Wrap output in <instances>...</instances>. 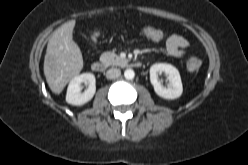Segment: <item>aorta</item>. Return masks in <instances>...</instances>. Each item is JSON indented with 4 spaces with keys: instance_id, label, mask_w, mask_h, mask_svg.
Wrapping results in <instances>:
<instances>
[{
    "instance_id": "obj_1",
    "label": "aorta",
    "mask_w": 248,
    "mask_h": 165,
    "mask_svg": "<svg viewBox=\"0 0 248 165\" xmlns=\"http://www.w3.org/2000/svg\"><path fill=\"white\" fill-rule=\"evenodd\" d=\"M124 76L128 80H132L135 76V73L132 69H126L124 72Z\"/></svg>"
}]
</instances>
